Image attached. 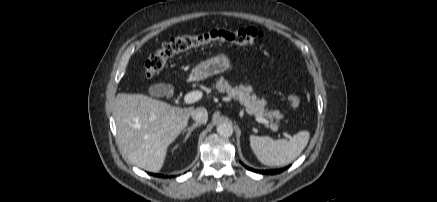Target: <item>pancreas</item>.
Listing matches in <instances>:
<instances>
[{"instance_id": "cf45deb5", "label": "pancreas", "mask_w": 437, "mask_h": 202, "mask_svg": "<svg viewBox=\"0 0 437 202\" xmlns=\"http://www.w3.org/2000/svg\"><path fill=\"white\" fill-rule=\"evenodd\" d=\"M215 88L221 93H226L228 97L239 101L244 105L245 110L249 115H255L256 117L262 118L268 117L270 119L273 117L276 119L282 118V114L277 110L266 112V101L258 99L257 96L252 93V88L250 86L239 85L232 87L223 77H221L217 81ZM270 127L273 130L277 129L276 125H271Z\"/></svg>"}]
</instances>
